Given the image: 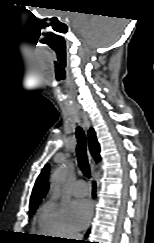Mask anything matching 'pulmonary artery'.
Listing matches in <instances>:
<instances>
[{"label": "pulmonary artery", "mask_w": 154, "mask_h": 243, "mask_svg": "<svg viewBox=\"0 0 154 243\" xmlns=\"http://www.w3.org/2000/svg\"><path fill=\"white\" fill-rule=\"evenodd\" d=\"M88 191H89V188H88L86 182L84 180H78L74 184L72 193L75 196H83V195H86L88 193Z\"/></svg>", "instance_id": "1"}]
</instances>
